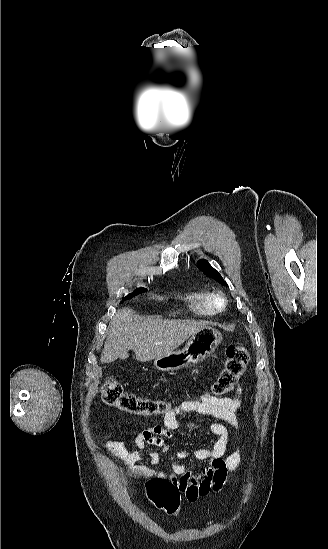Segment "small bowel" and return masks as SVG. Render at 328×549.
I'll return each instance as SVG.
<instances>
[{"label": "small bowel", "mask_w": 328, "mask_h": 549, "mask_svg": "<svg viewBox=\"0 0 328 549\" xmlns=\"http://www.w3.org/2000/svg\"><path fill=\"white\" fill-rule=\"evenodd\" d=\"M242 392V386L238 385L234 397L231 398L208 395L187 398L170 409L164 415L162 423L134 433L137 451L130 452L120 440H108L104 449L128 474L168 479L179 487L189 502H195L199 497L219 492L241 462V447L236 445L229 454L227 448L229 427L237 433L240 431L237 412L241 407ZM181 413H199L215 418L217 421L209 423L207 430L217 439L211 448L176 451L175 461L172 462L170 473L167 474L157 467L162 456H167L170 451L166 441L173 437L176 430H195L200 427L196 421L180 422L178 415ZM187 459L208 461V465L197 472L194 465L182 463Z\"/></svg>", "instance_id": "obj_1"}]
</instances>
